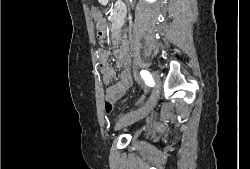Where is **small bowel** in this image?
<instances>
[{"label":"small bowel","mask_w":250,"mask_h":169,"mask_svg":"<svg viewBox=\"0 0 250 169\" xmlns=\"http://www.w3.org/2000/svg\"><path fill=\"white\" fill-rule=\"evenodd\" d=\"M121 18L122 14L119 11H116L114 15V22H119ZM113 55L116 65L120 69V77L114 85L107 89L106 95H118L119 100L130 90L132 86L131 59L127 41L123 43L121 48L115 50ZM109 56L110 52L107 49H100L97 54L98 64L103 82L105 84H109L115 78V71L108 63Z\"/></svg>","instance_id":"1"}]
</instances>
